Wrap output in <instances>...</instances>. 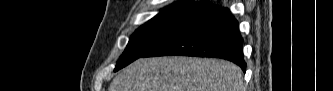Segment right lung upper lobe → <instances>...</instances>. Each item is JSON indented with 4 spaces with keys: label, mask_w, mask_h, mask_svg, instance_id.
<instances>
[{
    "label": "right lung upper lobe",
    "mask_w": 333,
    "mask_h": 91,
    "mask_svg": "<svg viewBox=\"0 0 333 91\" xmlns=\"http://www.w3.org/2000/svg\"><path fill=\"white\" fill-rule=\"evenodd\" d=\"M202 3L179 2L160 11L154 18H181L191 20L203 12Z\"/></svg>",
    "instance_id": "right-lung-upper-lobe-1"
}]
</instances>
